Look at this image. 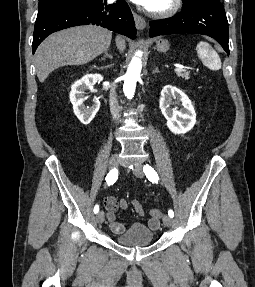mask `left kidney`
Returning <instances> with one entry per match:
<instances>
[{"instance_id": "left-kidney-1", "label": "left kidney", "mask_w": 255, "mask_h": 287, "mask_svg": "<svg viewBox=\"0 0 255 287\" xmlns=\"http://www.w3.org/2000/svg\"><path fill=\"white\" fill-rule=\"evenodd\" d=\"M181 102L183 108L177 110V108H171L175 102ZM160 110L167 120V128L173 134H186L189 130H192L194 124H196V114L192 102H190L188 96L181 92L179 88L175 86H164L160 100Z\"/></svg>"}]
</instances>
